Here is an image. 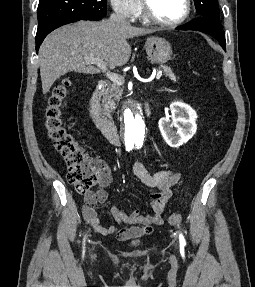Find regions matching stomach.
Segmentation results:
<instances>
[{"mask_svg":"<svg viewBox=\"0 0 255 287\" xmlns=\"http://www.w3.org/2000/svg\"><path fill=\"white\" fill-rule=\"evenodd\" d=\"M146 54L152 64H166L170 60L173 52L172 46L165 38H147L145 42Z\"/></svg>","mask_w":255,"mask_h":287,"instance_id":"obj_1","label":"stomach"}]
</instances>
